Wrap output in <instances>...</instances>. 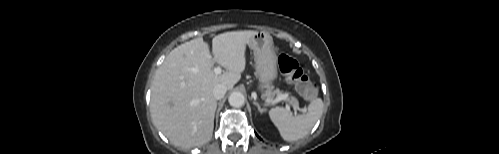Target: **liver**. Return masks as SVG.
Segmentation results:
<instances>
[{
  "label": "liver",
  "mask_w": 499,
  "mask_h": 154,
  "mask_svg": "<svg viewBox=\"0 0 499 154\" xmlns=\"http://www.w3.org/2000/svg\"><path fill=\"white\" fill-rule=\"evenodd\" d=\"M257 31H231L213 38V55L202 37L174 48L156 71L150 111L155 126L181 147L201 146L212 138L217 108L213 88L231 89L246 65V45ZM218 63L226 69L215 74Z\"/></svg>",
  "instance_id": "liver-1"
}]
</instances>
